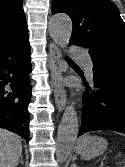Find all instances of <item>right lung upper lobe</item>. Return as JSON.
<instances>
[{
  "instance_id": "cb5924a9",
  "label": "right lung upper lobe",
  "mask_w": 125,
  "mask_h": 167,
  "mask_svg": "<svg viewBox=\"0 0 125 167\" xmlns=\"http://www.w3.org/2000/svg\"><path fill=\"white\" fill-rule=\"evenodd\" d=\"M28 38L22 0H0V48Z\"/></svg>"
}]
</instances>
